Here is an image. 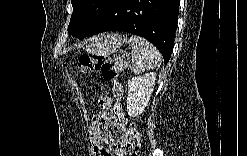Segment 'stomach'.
Wrapping results in <instances>:
<instances>
[{
    "instance_id": "1",
    "label": "stomach",
    "mask_w": 247,
    "mask_h": 156,
    "mask_svg": "<svg viewBox=\"0 0 247 156\" xmlns=\"http://www.w3.org/2000/svg\"><path fill=\"white\" fill-rule=\"evenodd\" d=\"M124 43V39L118 33H108L105 36L99 37L91 43L89 51L92 54L108 56L117 49H119Z\"/></svg>"
}]
</instances>
